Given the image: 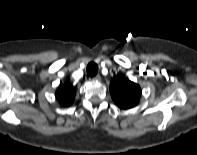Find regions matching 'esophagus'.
<instances>
[{
  "mask_svg": "<svg viewBox=\"0 0 197 155\" xmlns=\"http://www.w3.org/2000/svg\"><path fill=\"white\" fill-rule=\"evenodd\" d=\"M93 79L95 81H100L101 80V76L100 75H96V76L93 77Z\"/></svg>",
  "mask_w": 197,
  "mask_h": 155,
  "instance_id": "obj_1",
  "label": "esophagus"
}]
</instances>
